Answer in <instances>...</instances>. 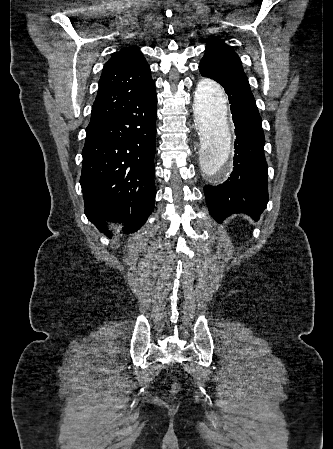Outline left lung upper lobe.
Wrapping results in <instances>:
<instances>
[{
    "mask_svg": "<svg viewBox=\"0 0 333 449\" xmlns=\"http://www.w3.org/2000/svg\"><path fill=\"white\" fill-rule=\"evenodd\" d=\"M199 69L202 75H207L221 84L236 85L251 91L240 58L223 41L212 39L207 42Z\"/></svg>",
    "mask_w": 333,
    "mask_h": 449,
    "instance_id": "left-lung-upper-lobe-1",
    "label": "left lung upper lobe"
}]
</instances>
